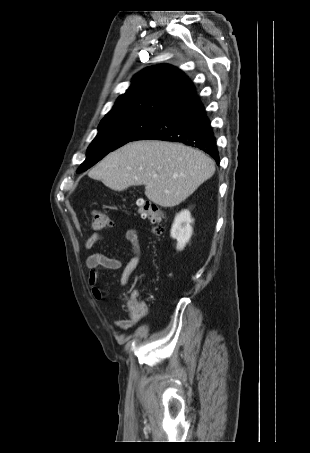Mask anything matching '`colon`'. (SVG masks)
I'll return each mask as SVG.
<instances>
[{
    "mask_svg": "<svg viewBox=\"0 0 310 453\" xmlns=\"http://www.w3.org/2000/svg\"><path fill=\"white\" fill-rule=\"evenodd\" d=\"M136 205L138 214L142 218L150 221L154 226V231L159 233V226L162 222V212L160 208L155 203L144 199H138ZM91 218L93 229L101 231L108 228L109 218L105 212L95 209L91 213ZM125 306L130 316L142 317L146 313V305L136 292H133L127 298Z\"/></svg>",
    "mask_w": 310,
    "mask_h": 453,
    "instance_id": "5ec220e1",
    "label": "colon"
}]
</instances>
